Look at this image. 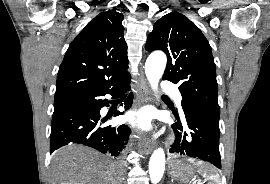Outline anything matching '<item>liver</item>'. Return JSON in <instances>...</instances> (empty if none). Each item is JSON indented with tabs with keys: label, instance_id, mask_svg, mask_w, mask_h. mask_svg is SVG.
Instances as JSON below:
<instances>
[{
	"label": "liver",
	"instance_id": "1",
	"mask_svg": "<svg viewBox=\"0 0 270 184\" xmlns=\"http://www.w3.org/2000/svg\"><path fill=\"white\" fill-rule=\"evenodd\" d=\"M118 164L93 149L69 145L58 150L51 165L52 184H117Z\"/></svg>",
	"mask_w": 270,
	"mask_h": 184
}]
</instances>
